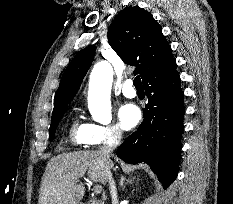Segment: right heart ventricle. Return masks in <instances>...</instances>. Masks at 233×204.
<instances>
[{"label": "right heart ventricle", "instance_id": "e07e8e85", "mask_svg": "<svg viewBox=\"0 0 233 204\" xmlns=\"http://www.w3.org/2000/svg\"><path fill=\"white\" fill-rule=\"evenodd\" d=\"M87 131L88 123H84L79 118H75L69 132L71 142L75 145H86Z\"/></svg>", "mask_w": 233, "mask_h": 204}]
</instances>
